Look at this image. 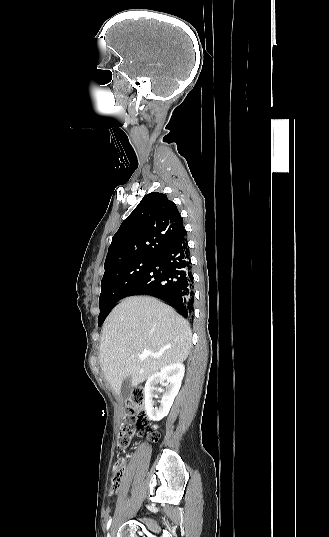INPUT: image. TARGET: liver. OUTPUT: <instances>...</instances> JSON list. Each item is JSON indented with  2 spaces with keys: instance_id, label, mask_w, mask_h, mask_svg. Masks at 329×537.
<instances>
[{
  "instance_id": "6515ba94",
  "label": "liver",
  "mask_w": 329,
  "mask_h": 537,
  "mask_svg": "<svg viewBox=\"0 0 329 537\" xmlns=\"http://www.w3.org/2000/svg\"><path fill=\"white\" fill-rule=\"evenodd\" d=\"M192 333L175 310L149 296L127 297L107 318L101 335L99 363L119 395L124 379L137 386L160 369L186 360ZM152 353L145 360L138 356Z\"/></svg>"
}]
</instances>
